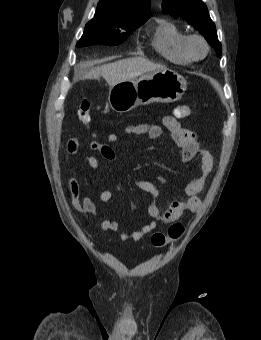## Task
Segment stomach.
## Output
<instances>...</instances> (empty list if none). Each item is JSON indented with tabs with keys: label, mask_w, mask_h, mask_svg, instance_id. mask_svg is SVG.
<instances>
[{
	"label": "stomach",
	"mask_w": 261,
	"mask_h": 340,
	"mask_svg": "<svg viewBox=\"0 0 261 340\" xmlns=\"http://www.w3.org/2000/svg\"><path fill=\"white\" fill-rule=\"evenodd\" d=\"M186 87L187 82L180 74L164 69L110 87L108 101L114 111L126 113L139 105L177 101Z\"/></svg>",
	"instance_id": "1"
}]
</instances>
